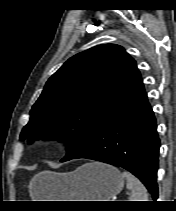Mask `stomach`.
I'll return each mask as SVG.
<instances>
[{
    "label": "stomach",
    "mask_w": 176,
    "mask_h": 211,
    "mask_svg": "<svg viewBox=\"0 0 176 211\" xmlns=\"http://www.w3.org/2000/svg\"><path fill=\"white\" fill-rule=\"evenodd\" d=\"M123 186L124 177L117 168L91 162L73 172L39 173L31 182V194L39 201H109Z\"/></svg>",
    "instance_id": "0dacf381"
}]
</instances>
